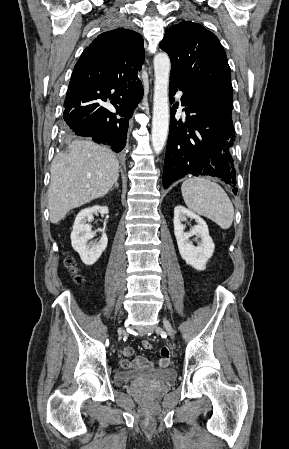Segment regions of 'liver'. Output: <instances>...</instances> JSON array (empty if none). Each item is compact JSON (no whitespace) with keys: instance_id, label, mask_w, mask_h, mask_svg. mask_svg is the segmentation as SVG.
Segmentation results:
<instances>
[{"instance_id":"6515ba94","label":"liver","mask_w":289,"mask_h":449,"mask_svg":"<svg viewBox=\"0 0 289 449\" xmlns=\"http://www.w3.org/2000/svg\"><path fill=\"white\" fill-rule=\"evenodd\" d=\"M68 149L51 164L48 206L53 224L70 210L106 195L119 177V162L110 149L82 140Z\"/></svg>"}]
</instances>
